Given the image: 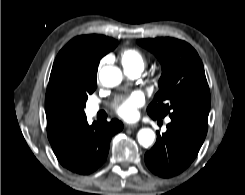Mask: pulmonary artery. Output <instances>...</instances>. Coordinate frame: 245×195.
<instances>
[{"label":"pulmonary artery","mask_w":245,"mask_h":195,"mask_svg":"<svg viewBox=\"0 0 245 195\" xmlns=\"http://www.w3.org/2000/svg\"><path fill=\"white\" fill-rule=\"evenodd\" d=\"M124 72L125 74L131 78V79H136L138 78L141 73H142V70L141 69H138V68H134V69H124ZM100 107L99 105L97 104H90L89 107H88V111L91 113V114H95L99 111ZM167 121H169V119H167Z\"/></svg>","instance_id":"pulmonary-artery-1"}]
</instances>
